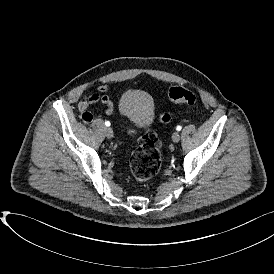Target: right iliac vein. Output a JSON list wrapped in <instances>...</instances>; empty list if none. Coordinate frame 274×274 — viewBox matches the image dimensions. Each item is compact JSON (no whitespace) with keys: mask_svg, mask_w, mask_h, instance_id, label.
Instances as JSON below:
<instances>
[{"mask_svg":"<svg viewBox=\"0 0 274 274\" xmlns=\"http://www.w3.org/2000/svg\"><path fill=\"white\" fill-rule=\"evenodd\" d=\"M105 135L107 138L113 137V130L110 127L105 128Z\"/></svg>","mask_w":274,"mask_h":274,"instance_id":"63e3f726","label":"right iliac vein"}]
</instances>
